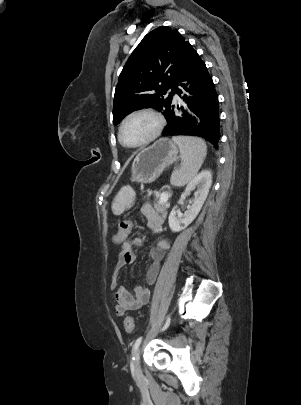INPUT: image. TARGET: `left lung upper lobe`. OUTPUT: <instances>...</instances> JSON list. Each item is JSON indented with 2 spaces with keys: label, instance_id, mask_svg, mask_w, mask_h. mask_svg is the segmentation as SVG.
<instances>
[{
  "label": "left lung upper lobe",
  "instance_id": "obj_1",
  "mask_svg": "<svg viewBox=\"0 0 301 405\" xmlns=\"http://www.w3.org/2000/svg\"><path fill=\"white\" fill-rule=\"evenodd\" d=\"M194 52L178 31L160 26L149 32L119 76L113 103L114 125L130 112L143 108H153L166 115ZM170 88L172 91L166 96Z\"/></svg>",
  "mask_w": 301,
  "mask_h": 405
}]
</instances>
